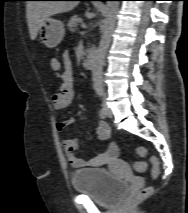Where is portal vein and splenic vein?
I'll list each match as a JSON object with an SVG mask.
<instances>
[{
	"label": "portal vein and splenic vein",
	"mask_w": 188,
	"mask_h": 213,
	"mask_svg": "<svg viewBox=\"0 0 188 213\" xmlns=\"http://www.w3.org/2000/svg\"><path fill=\"white\" fill-rule=\"evenodd\" d=\"M81 26H82L83 29H85L87 27L85 23H82Z\"/></svg>",
	"instance_id": "18ae733b"
}]
</instances>
